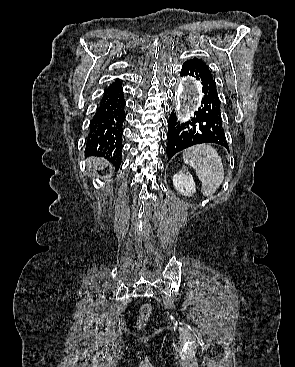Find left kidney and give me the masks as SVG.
I'll use <instances>...</instances> for the list:
<instances>
[{"instance_id":"1","label":"left kidney","mask_w":295,"mask_h":367,"mask_svg":"<svg viewBox=\"0 0 295 367\" xmlns=\"http://www.w3.org/2000/svg\"><path fill=\"white\" fill-rule=\"evenodd\" d=\"M175 189L185 196H192L196 192L195 182L187 171H180L173 176Z\"/></svg>"}]
</instances>
